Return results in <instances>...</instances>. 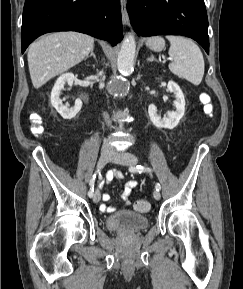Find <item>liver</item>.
<instances>
[{
    "mask_svg": "<svg viewBox=\"0 0 243 289\" xmlns=\"http://www.w3.org/2000/svg\"><path fill=\"white\" fill-rule=\"evenodd\" d=\"M92 48L93 37L73 31L51 33L32 43L27 59L34 88L80 63Z\"/></svg>",
    "mask_w": 243,
    "mask_h": 289,
    "instance_id": "obj_1",
    "label": "liver"
}]
</instances>
